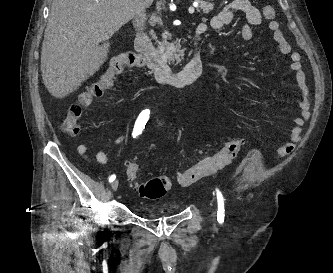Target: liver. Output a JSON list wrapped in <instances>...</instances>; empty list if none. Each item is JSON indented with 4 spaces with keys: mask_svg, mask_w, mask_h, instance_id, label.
<instances>
[{
    "mask_svg": "<svg viewBox=\"0 0 333 273\" xmlns=\"http://www.w3.org/2000/svg\"><path fill=\"white\" fill-rule=\"evenodd\" d=\"M153 1L145 0L146 8ZM128 3L53 0L41 52L43 82L53 97L61 99L77 90L103 65L108 40L132 19Z\"/></svg>",
    "mask_w": 333,
    "mask_h": 273,
    "instance_id": "6515ba94",
    "label": "liver"
}]
</instances>
